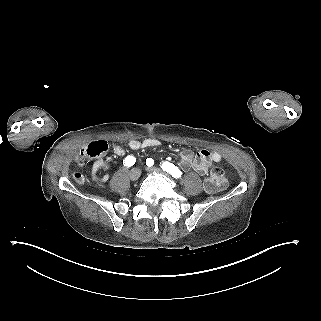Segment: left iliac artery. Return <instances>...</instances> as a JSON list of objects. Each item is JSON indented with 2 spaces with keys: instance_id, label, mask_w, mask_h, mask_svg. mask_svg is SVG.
Returning a JSON list of instances; mask_svg holds the SVG:
<instances>
[{
  "instance_id": "1",
  "label": "left iliac artery",
  "mask_w": 321,
  "mask_h": 321,
  "mask_svg": "<svg viewBox=\"0 0 321 321\" xmlns=\"http://www.w3.org/2000/svg\"><path fill=\"white\" fill-rule=\"evenodd\" d=\"M146 165L149 166V167L153 166L154 165V160L152 158H148L146 160ZM161 168L164 171L170 173L175 178H180L182 176V172L179 170V168H177L173 164H170L169 162H164L161 165Z\"/></svg>"
}]
</instances>
